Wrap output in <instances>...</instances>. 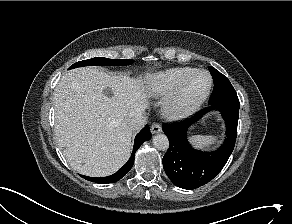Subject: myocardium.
<instances>
[{
  "instance_id": "myocardium-1",
  "label": "myocardium",
  "mask_w": 292,
  "mask_h": 224,
  "mask_svg": "<svg viewBox=\"0 0 292 224\" xmlns=\"http://www.w3.org/2000/svg\"><path fill=\"white\" fill-rule=\"evenodd\" d=\"M198 73H206L209 76V86L202 96L191 102H185L183 99V95L186 86L189 81ZM213 84V76L208 70L195 69L178 84L176 89L165 100L163 105L165 115L170 119L177 120L192 114L207 100L212 91Z\"/></svg>"
}]
</instances>
